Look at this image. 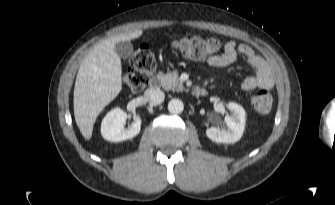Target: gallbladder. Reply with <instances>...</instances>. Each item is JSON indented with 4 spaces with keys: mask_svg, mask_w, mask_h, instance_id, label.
Segmentation results:
<instances>
[{
    "mask_svg": "<svg viewBox=\"0 0 335 205\" xmlns=\"http://www.w3.org/2000/svg\"><path fill=\"white\" fill-rule=\"evenodd\" d=\"M115 51L121 58H128L133 52V46L130 42H119L115 45Z\"/></svg>",
    "mask_w": 335,
    "mask_h": 205,
    "instance_id": "gallbladder-1",
    "label": "gallbladder"
}]
</instances>
